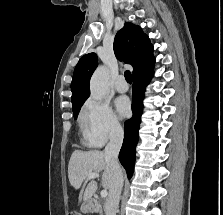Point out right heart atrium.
<instances>
[{"label":"right heart atrium","instance_id":"1","mask_svg":"<svg viewBox=\"0 0 223 215\" xmlns=\"http://www.w3.org/2000/svg\"><path fill=\"white\" fill-rule=\"evenodd\" d=\"M80 123L89 139L98 145L118 137L122 132L121 124L110 106L92 99L83 106Z\"/></svg>","mask_w":223,"mask_h":215}]
</instances>
